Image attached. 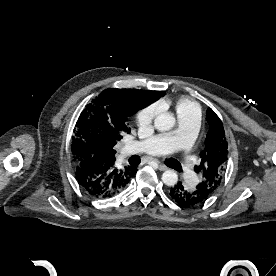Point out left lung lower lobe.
<instances>
[{
    "mask_svg": "<svg viewBox=\"0 0 276 276\" xmlns=\"http://www.w3.org/2000/svg\"><path fill=\"white\" fill-rule=\"evenodd\" d=\"M171 199L181 207H197L205 203L210 196L205 187L188 188L182 183H178L169 191Z\"/></svg>",
    "mask_w": 276,
    "mask_h": 276,
    "instance_id": "left-lung-lower-lobe-1",
    "label": "left lung lower lobe"
}]
</instances>
